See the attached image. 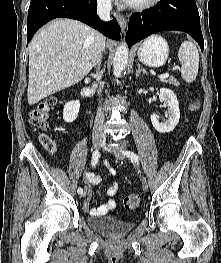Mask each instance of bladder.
Instances as JSON below:
<instances>
[{
  "mask_svg": "<svg viewBox=\"0 0 221 263\" xmlns=\"http://www.w3.org/2000/svg\"><path fill=\"white\" fill-rule=\"evenodd\" d=\"M89 227L108 237H121L129 233L134 226L133 220H123L111 215L90 216Z\"/></svg>",
  "mask_w": 221,
  "mask_h": 263,
  "instance_id": "1",
  "label": "bladder"
}]
</instances>
